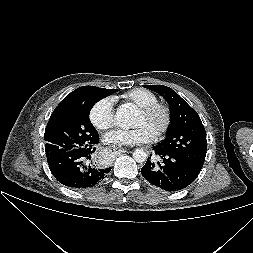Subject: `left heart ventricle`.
Masks as SVG:
<instances>
[{
    "instance_id": "left-heart-ventricle-1",
    "label": "left heart ventricle",
    "mask_w": 253,
    "mask_h": 253,
    "mask_svg": "<svg viewBox=\"0 0 253 253\" xmlns=\"http://www.w3.org/2000/svg\"><path fill=\"white\" fill-rule=\"evenodd\" d=\"M163 119V114L160 112H156L150 116H145L138 111L135 116L134 126L145 125L155 134L161 127Z\"/></svg>"
}]
</instances>
